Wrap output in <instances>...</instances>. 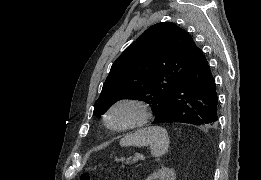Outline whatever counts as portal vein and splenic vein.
<instances>
[{
	"instance_id": "obj_1",
	"label": "portal vein and splenic vein",
	"mask_w": 261,
	"mask_h": 180,
	"mask_svg": "<svg viewBox=\"0 0 261 180\" xmlns=\"http://www.w3.org/2000/svg\"><path fill=\"white\" fill-rule=\"evenodd\" d=\"M141 157H142L141 153H133V160L134 161H139Z\"/></svg>"
}]
</instances>
